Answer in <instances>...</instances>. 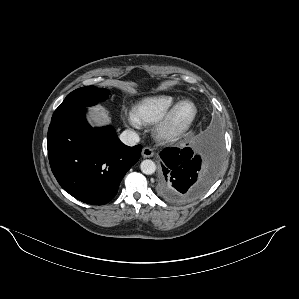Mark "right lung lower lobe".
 <instances>
[{
  "instance_id": "98d812e1",
  "label": "right lung lower lobe",
  "mask_w": 299,
  "mask_h": 299,
  "mask_svg": "<svg viewBox=\"0 0 299 299\" xmlns=\"http://www.w3.org/2000/svg\"><path fill=\"white\" fill-rule=\"evenodd\" d=\"M85 107L51 120L47 149L51 170L61 187L93 205L108 203L126 172L138 161L142 146L128 147L111 126L92 128Z\"/></svg>"
}]
</instances>
